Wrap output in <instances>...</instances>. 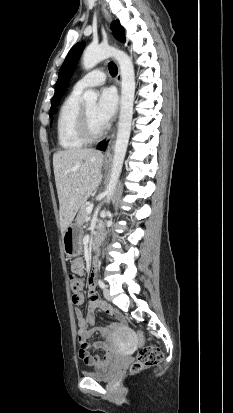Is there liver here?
<instances>
[{"mask_svg":"<svg viewBox=\"0 0 233 413\" xmlns=\"http://www.w3.org/2000/svg\"><path fill=\"white\" fill-rule=\"evenodd\" d=\"M103 158L94 149H69L53 155L62 231L71 225L77 211L101 183Z\"/></svg>","mask_w":233,"mask_h":413,"instance_id":"obj_1","label":"liver"}]
</instances>
